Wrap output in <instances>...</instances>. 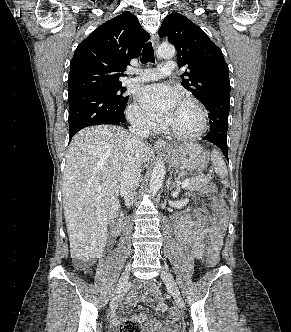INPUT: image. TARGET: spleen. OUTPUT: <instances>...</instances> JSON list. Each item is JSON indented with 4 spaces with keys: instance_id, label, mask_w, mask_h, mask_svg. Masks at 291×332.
<instances>
[{
    "instance_id": "spleen-1",
    "label": "spleen",
    "mask_w": 291,
    "mask_h": 332,
    "mask_svg": "<svg viewBox=\"0 0 291 332\" xmlns=\"http://www.w3.org/2000/svg\"><path fill=\"white\" fill-rule=\"evenodd\" d=\"M211 161L214 165L216 173H218L222 179L225 178L228 174L226 164L220 153L215 149L211 152Z\"/></svg>"
}]
</instances>
